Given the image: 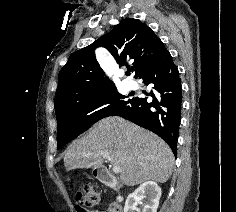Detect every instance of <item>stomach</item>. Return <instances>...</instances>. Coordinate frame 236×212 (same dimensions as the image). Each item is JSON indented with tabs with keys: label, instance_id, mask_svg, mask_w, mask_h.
Instances as JSON below:
<instances>
[{
	"label": "stomach",
	"instance_id": "obj_1",
	"mask_svg": "<svg viewBox=\"0 0 236 212\" xmlns=\"http://www.w3.org/2000/svg\"><path fill=\"white\" fill-rule=\"evenodd\" d=\"M93 175L98 177V171L96 169L93 170Z\"/></svg>",
	"mask_w": 236,
	"mask_h": 212
}]
</instances>
